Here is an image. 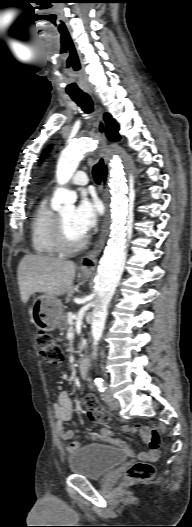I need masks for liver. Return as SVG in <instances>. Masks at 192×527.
<instances>
[{
  "mask_svg": "<svg viewBox=\"0 0 192 527\" xmlns=\"http://www.w3.org/2000/svg\"><path fill=\"white\" fill-rule=\"evenodd\" d=\"M74 262L41 255H25L18 266V283L21 300L26 303L36 292L56 297L66 295L68 303L75 291Z\"/></svg>",
  "mask_w": 192,
  "mask_h": 527,
  "instance_id": "liver-1",
  "label": "liver"
}]
</instances>
